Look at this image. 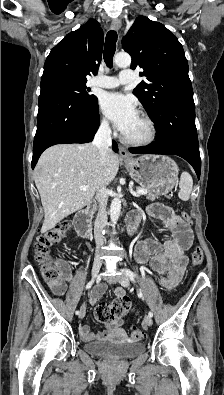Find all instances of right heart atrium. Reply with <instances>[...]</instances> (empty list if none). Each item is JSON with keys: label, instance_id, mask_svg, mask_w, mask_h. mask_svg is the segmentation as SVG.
Masks as SVG:
<instances>
[{"label": "right heart atrium", "instance_id": "d8ad5b80", "mask_svg": "<svg viewBox=\"0 0 224 395\" xmlns=\"http://www.w3.org/2000/svg\"><path fill=\"white\" fill-rule=\"evenodd\" d=\"M99 126L102 130H108L109 129V124L108 121L105 118H100L99 120Z\"/></svg>", "mask_w": 224, "mask_h": 395}]
</instances>
